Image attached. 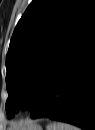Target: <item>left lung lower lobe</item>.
<instances>
[{
	"label": "left lung lower lobe",
	"instance_id": "left-lung-lower-lobe-1",
	"mask_svg": "<svg viewBox=\"0 0 95 130\" xmlns=\"http://www.w3.org/2000/svg\"><path fill=\"white\" fill-rule=\"evenodd\" d=\"M47 117L95 129V14L53 67L31 118Z\"/></svg>",
	"mask_w": 95,
	"mask_h": 130
}]
</instances>
